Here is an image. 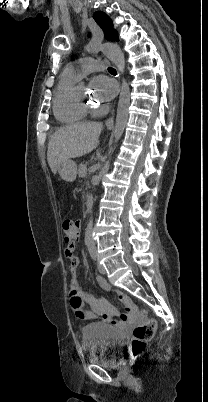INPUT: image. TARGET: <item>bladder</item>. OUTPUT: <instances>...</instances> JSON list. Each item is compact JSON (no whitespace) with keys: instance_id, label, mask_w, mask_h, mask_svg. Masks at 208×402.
I'll return each instance as SVG.
<instances>
[{"instance_id":"obj_1","label":"bladder","mask_w":208,"mask_h":402,"mask_svg":"<svg viewBox=\"0 0 208 402\" xmlns=\"http://www.w3.org/2000/svg\"><path fill=\"white\" fill-rule=\"evenodd\" d=\"M124 339L117 329L109 324L94 323L83 326V348L87 359L98 364L116 363L114 357L122 347Z\"/></svg>"}]
</instances>
